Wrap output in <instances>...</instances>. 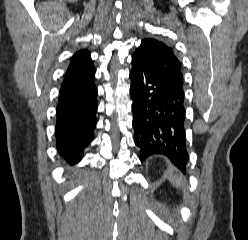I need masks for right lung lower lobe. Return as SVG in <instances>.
<instances>
[{"mask_svg":"<svg viewBox=\"0 0 248 240\" xmlns=\"http://www.w3.org/2000/svg\"><path fill=\"white\" fill-rule=\"evenodd\" d=\"M95 69L63 81L56 108L55 137L58 153L70 164L78 162L93 140L96 127Z\"/></svg>","mask_w":248,"mask_h":240,"instance_id":"obj_1","label":"right lung lower lobe"}]
</instances>
